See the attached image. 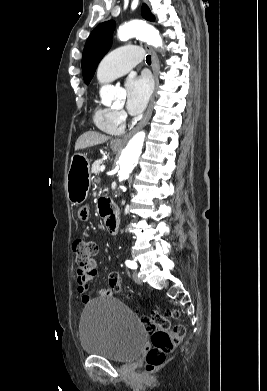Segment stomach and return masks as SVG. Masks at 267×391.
<instances>
[{
    "mask_svg": "<svg viewBox=\"0 0 267 391\" xmlns=\"http://www.w3.org/2000/svg\"><path fill=\"white\" fill-rule=\"evenodd\" d=\"M114 151L118 147L112 146ZM90 163L85 155L75 154L67 174V197L73 205L82 204L87 198L90 187Z\"/></svg>",
    "mask_w": 267,
    "mask_h": 391,
    "instance_id": "1",
    "label": "stomach"
}]
</instances>
